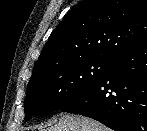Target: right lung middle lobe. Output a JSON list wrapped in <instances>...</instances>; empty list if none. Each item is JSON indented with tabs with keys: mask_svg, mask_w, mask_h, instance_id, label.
<instances>
[{
	"mask_svg": "<svg viewBox=\"0 0 147 131\" xmlns=\"http://www.w3.org/2000/svg\"><path fill=\"white\" fill-rule=\"evenodd\" d=\"M114 60L89 58L70 62L32 76L24 101L25 120L34 114L62 110L92 89Z\"/></svg>",
	"mask_w": 147,
	"mask_h": 131,
	"instance_id": "right-lung-middle-lobe-1",
	"label": "right lung middle lobe"
}]
</instances>
